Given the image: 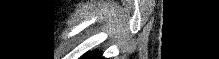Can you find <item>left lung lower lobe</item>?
<instances>
[{
	"label": "left lung lower lobe",
	"instance_id": "1",
	"mask_svg": "<svg viewBox=\"0 0 219 59\" xmlns=\"http://www.w3.org/2000/svg\"><path fill=\"white\" fill-rule=\"evenodd\" d=\"M80 59H104V57H102V54L99 52L96 53L90 52L87 53L86 56L81 57Z\"/></svg>",
	"mask_w": 219,
	"mask_h": 59
}]
</instances>
